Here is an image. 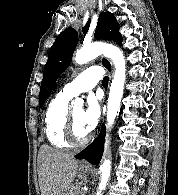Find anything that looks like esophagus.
I'll use <instances>...</instances> for the list:
<instances>
[{"label": "esophagus", "instance_id": "esophagus-1", "mask_svg": "<svg viewBox=\"0 0 178 195\" xmlns=\"http://www.w3.org/2000/svg\"><path fill=\"white\" fill-rule=\"evenodd\" d=\"M101 64L105 67L106 71L109 73L110 80H112L114 74V67L112 62L106 57H101ZM80 165L85 167L90 166V164L86 160L81 161Z\"/></svg>", "mask_w": 178, "mask_h": 195}]
</instances>
